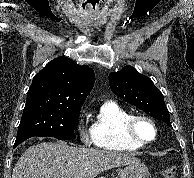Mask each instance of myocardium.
Returning a JSON list of instances; mask_svg holds the SVG:
<instances>
[{"mask_svg": "<svg viewBox=\"0 0 194 178\" xmlns=\"http://www.w3.org/2000/svg\"><path fill=\"white\" fill-rule=\"evenodd\" d=\"M141 121L148 123L152 127L154 131L152 139L144 140L137 134L136 126ZM123 132L127 139L141 146L153 143L158 137V128L155 121L149 116L141 114L131 115L123 124Z\"/></svg>", "mask_w": 194, "mask_h": 178, "instance_id": "obj_1", "label": "myocardium"}]
</instances>
